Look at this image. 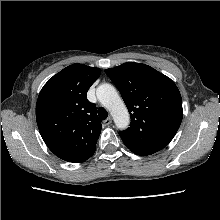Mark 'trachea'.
Here are the masks:
<instances>
[{
	"label": "trachea",
	"mask_w": 220,
	"mask_h": 220,
	"mask_svg": "<svg viewBox=\"0 0 220 220\" xmlns=\"http://www.w3.org/2000/svg\"><path fill=\"white\" fill-rule=\"evenodd\" d=\"M98 115L101 119H106L108 117V112L103 108V107H100L98 109Z\"/></svg>",
	"instance_id": "obj_1"
}]
</instances>
